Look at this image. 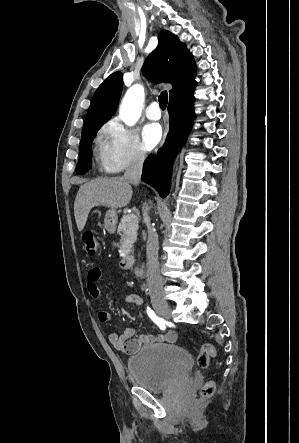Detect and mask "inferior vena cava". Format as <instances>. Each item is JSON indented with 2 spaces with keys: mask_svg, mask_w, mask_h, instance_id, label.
<instances>
[{
  "mask_svg": "<svg viewBox=\"0 0 299 443\" xmlns=\"http://www.w3.org/2000/svg\"><path fill=\"white\" fill-rule=\"evenodd\" d=\"M144 159L145 156L143 154H136L133 157L130 165L126 169L123 178L125 180H128L133 185H138L142 174ZM148 210V206L146 204H143V218L148 229V240L146 244L147 282L150 296L161 297L163 295V281L159 273L158 236L151 226Z\"/></svg>",
  "mask_w": 299,
  "mask_h": 443,
  "instance_id": "obj_1",
  "label": "inferior vena cava"
}]
</instances>
